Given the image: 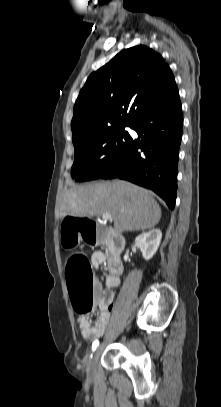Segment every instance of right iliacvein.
Segmentation results:
<instances>
[{"label":"right iliac vein","mask_w":221,"mask_h":407,"mask_svg":"<svg viewBox=\"0 0 221 407\" xmlns=\"http://www.w3.org/2000/svg\"><path fill=\"white\" fill-rule=\"evenodd\" d=\"M100 353H101V347H98V348L95 350V352H94V354H93L91 360H90L89 363H88V366H87V373H88L89 376L93 375V373H94L95 370H96V366H97V363H98V359H99Z\"/></svg>","instance_id":"63e3f726"}]
</instances>
